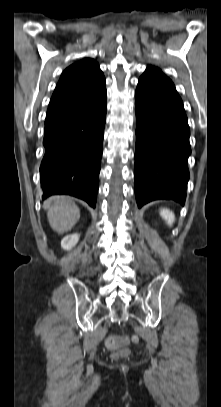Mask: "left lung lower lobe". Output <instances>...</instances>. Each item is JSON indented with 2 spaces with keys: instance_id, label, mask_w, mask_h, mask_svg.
I'll use <instances>...</instances> for the list:
<instances>
[{
  "instance_id": "left-lung-lower-lobe-1",
  "label": "left lung lower lobe",
  "mask_w": 221,
  "mask_h": 407,
  "mask_svg": "<svg viewBox=\"0 0 221 407\" xmlns=\"http://www.w3.org/2000/svg\"><path fill=\"white\" fill-rule=\"evenodd\" d=\"M138 207L158 199L185 203L191 153L183 102L169 78H140L135 93Z\"/></svg>"
}]
</instances>
